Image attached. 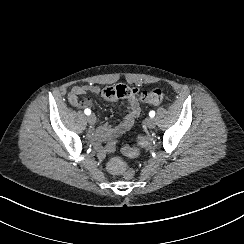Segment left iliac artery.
<instances>
[{"label":"left iliac artery","instance_id":"44dca946","mask_svg":"<svg viewBox=\"0 0 244 244\" xmlns=\"http://www.w3.org/2000/svg\"><path fill=\"white\" fill-rule=\"evenodd\" d=\"M149 116L153 118L155 116V112L154 111H150Z\"/></svg>","mask_w":244,"mask_h":244}]
</instances>
